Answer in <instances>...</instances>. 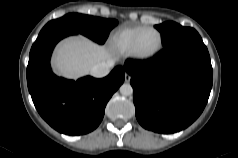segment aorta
<instances>
[{
    "label": "aorta",
    "instance_id": "aorta-1",
    "mask_svg": "<svg viewBox=\"0 0 238 158\" xmlns=\"http://www.w3.org/2000/svg\"><path fill=\"white\" fill-rule=\"evenodd\" d=\"M120 93L124 96H129L133 93L132 86L128 83H124L120 87Z\"/></svg>",
    "mask_w": 238,
    "mask_h": 158
}]
</instances>
